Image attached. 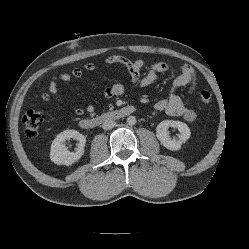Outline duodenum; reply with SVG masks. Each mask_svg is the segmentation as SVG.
<instances>
[{
	"mask_svg": "<svg viewBox=\"0 0 249 249\" xmlns=\"http://www.w3.org/2000/svg\"><path fill=\"white\" fill-rule=\"evenodd\" d=\"M136 111L134 106H124L116 110L100 113L94 117L83 118L79 122L80 128L91 130L99 127L102 123L110 120L123 119Z\"/></svg>",
	"mask_w": 249,
	"mask_h": 249,
	"instance_id": "duodenum-1",
	"label": "duodenum"
}]
</instances>
